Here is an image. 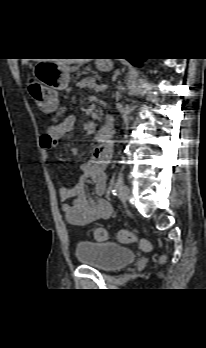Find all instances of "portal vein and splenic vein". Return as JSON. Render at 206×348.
<instances>
[{
	"label": "portal vein and splenic vein",
	"instance_id": "1",
	"mask_svg": "<svg viewBox=\"0 0 206 348\" xmlns=\"http://www.w3.org/2000/svg\"><path fill=\"white\" fill-rule=\"evenodd\" d=\"M107 89V85H104V84H102V85H97L95 88H94V90L96 91V92H102V91H105Z\"/></svg>",
	"mask_w": 206,
	"mask_h": 348
}]
</instances>
